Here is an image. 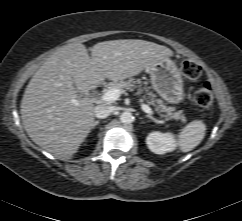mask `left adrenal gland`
<instances>
[{"label": "left adrenal gland", "mask_w": 242, "mask_h": 221, "mask_svg": "<svg viewBox=\"0 0 242 221\" xmlns=\"http://www.w3.org/2000/svg\"><path fill=\"white\" fill-rule=\"evenodd\" d=\"M145 117L146 118H150V119H152L153 117L152 116H150V115H145Z\"/></svg>", "instance_id": "obj_1"}]
</instances>
